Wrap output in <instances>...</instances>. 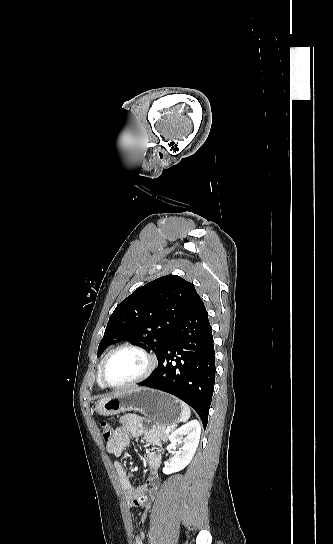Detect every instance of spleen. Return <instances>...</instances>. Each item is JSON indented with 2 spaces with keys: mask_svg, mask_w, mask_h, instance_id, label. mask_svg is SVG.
Returning a JSON list of instances; mask_svg holds the SVG:
<instances>
[{
  "mask_svg": "<svg viewBox=\"0 0 333 544\" xmlns=\"http://www.w3.org/2000/svg\"><path fill=\"white\" fill-rule=\"evenodd\" d=\"M180 406H181V417H180V421L181 422H186L189 420L190 418V415H191V411H190V408L187 404H185L183 401H180Z\"/></svg>",
  "mask_w": 333,
  "mask_h": 544,
  "instance_id": "obj_1",
  "label": "spleen"
}]
</instances>
